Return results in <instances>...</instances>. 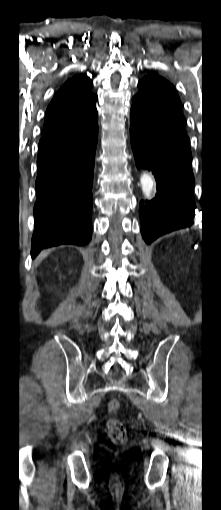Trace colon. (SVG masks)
Instances as JSON below:
<instances>
[{
  "label": "colon",
  "mask_w": 221,
  "mask_h": 510,
  "mask_svg": "<svg viewBox=\"0 0 221 510\" xmlns=\"http://www.w3.org/2000/svg\"><path fill=\"white\" fill-rule=\"evenodd\" d=\"M120 409V402L112 399L108 402L107 412L109 418L105 425V433L107 437L114 443L121 444L126 440V430L123 423L114 417Z\"/></svg>",
  "instance_id": "5ec220e1"
}]
</instances>
